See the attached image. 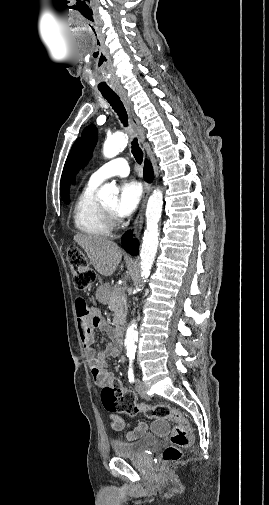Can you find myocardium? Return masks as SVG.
Listing matches in <instances>:
<instances>
[{
  "label": "myocardium",
  "mask_w": 269,
  "mask_h": 505,
  "mask_svg": "<svg viewBox=\"0 0 269 505\" xmlns=\"http://www.w3.org/2000/svg\"><path fill=\"white\" fill-rule=\"evenodd\" d=\"M103 209L105 211L110 226H115L117 224V220L115 218L114 212L112 210H109L105 206H103Z\"/></svg>",
  "instance_id": "obj_1"
}]
</instances>
